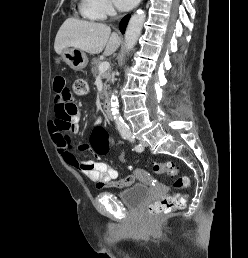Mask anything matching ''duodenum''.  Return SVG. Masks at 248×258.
I'll return each mask as SVG.
<instances>
[{
    "mask_svg": "<svg viewBox=\"0 0 248 258\" xmlns=\"http://www.w3.org/2000/svg\"><path fill=\"white\" fill-rule=\"evenodd\" d=\"M104 109H105V114L108 118H112V106L111 102L109 100H106L104 103Z\"/></svg>",
    "mask_w": 248,
    "mask_h": 258,
    "instance_id": "410a0bca",
    "label": "duodenum"
}]
</instances>
